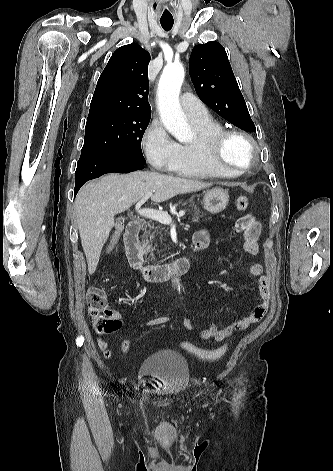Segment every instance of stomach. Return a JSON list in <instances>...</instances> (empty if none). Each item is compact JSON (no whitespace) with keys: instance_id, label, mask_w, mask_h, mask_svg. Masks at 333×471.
<instances>
[{"instance_id":"obj_1","label":"stomach","mask_w":333,"mask_h":471,"mask_svg":"<svg viewBox=\"0 0 333 471\" xmlns=\"http://www.w3.org/2000/svg\"><path fill=\"white\" fill-rule=\"evenodd\" d=\"M229 195L222 188H213L207 191L203 197V207L211 214L222 212L228 205Z\"/></svg>"}]
</instances>
